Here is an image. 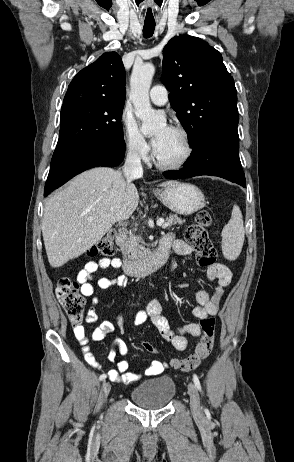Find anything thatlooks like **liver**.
Returning <instances> with one entry per match:
<instances>
[{"label":"liver","mask_w":294,"mask_h":462,"mask_svg":"<svg viewBox=\"0 0 294 462\" xmlns=\"http://www.w3.org/2000/svg\"><path fill=\"white\" fill-rule=\"evenodd\" d=\"M138 202L135 185H127L120 171L97 167L77 175L45 205L41 228L50 265L61 267L89 250L115 222L128 219Z\"/></svg>","instance_id":"obj_1"}]
</instances>
